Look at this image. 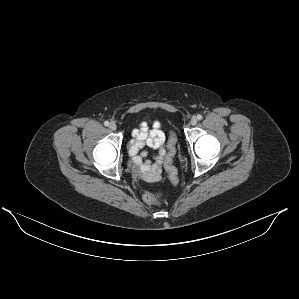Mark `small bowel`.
<instances>
[{"label":"small bowel","mask_w":299,"mask_h":299,"mask_svg":"<svg viewBox=\"0 0 299 299\" xmlns=\"http://www.w3.org/2000/svg\"><path fill=\"white\" fill-rule=\"evenodd\" d=\"M129 154L135 173L144 181L155 182L161 179L165 158V134L159 122L152 126L143 122L138 129L132 132ZM144 147L156 150L152 160H145Z\"/></svg>","instance_id":"obj_1"}]
</instances>
